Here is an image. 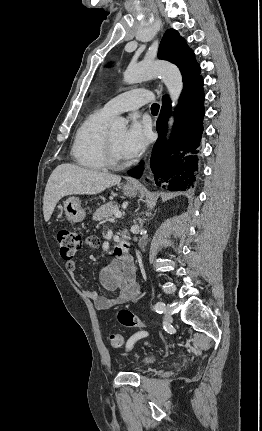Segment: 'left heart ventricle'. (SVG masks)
I'll use <instances>...</instances> for the list:
<instances>
[{
    "mask_svg": "<svg viewBox=\"0 0 262 431\" xmlns=\"http://www.w3.org/2000/svg\"><path fill=\"white\" fill-rule=\"evenodd\" d=\"M109 134L117 156L122 160H126V158L121 154L119 149V144L124 136V131H115L110 132Z\"/></svg>",
    "mask_w": 262,
    "mask_h": 431,
    "instance_id": "b2bd125f",
    "label": "left heart ventricle"
}]
</instances>
